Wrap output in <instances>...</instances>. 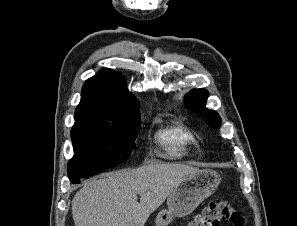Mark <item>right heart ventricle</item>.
<instances>
[{
    "label": "right heart ventricle",
    "instance_id": "right-heart-ventricle-1",
    "mask_svg": "<svg viewBox=\"0 0 297 226\" xmlns=\"http://www.w3.org/2000/svg\"><path fill=\"white\" fill-rule=\"evenodd\" d=\"M158 138L165 145L167 155L171 158L188 155L189 146L194 142L193 134L182 127L163 130L158 134Z\"/></svg>",
    "mask_w": 297,
    "mask_h": 226
}]
</instances>
